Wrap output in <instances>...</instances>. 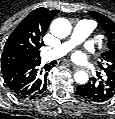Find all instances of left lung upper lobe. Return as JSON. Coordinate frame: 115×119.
Here are the masks:
<instances>
[{
    "label": "left lung upper lobe",
    "mask_w": 115,
    "mask_h": 119,
    "mask_svg": "<svg viewBox=\"0 0 115 119\" xmlns=\"http://www.w3.org/2000/svg\"><path fill=\"white\" fill-rule=\"evenodd\" d=\"M91 17L96 20L105 36L106 50L102 58L106 63L104 71L107 76L115 78V23L101 13L90 11Z\"/></svg>",
    "instance_id": "5c2ea615"
}]
</instances>
